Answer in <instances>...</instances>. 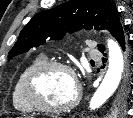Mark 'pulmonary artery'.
<instances>
[{"label": "pulmonary artery", "instance_id": "pulmonary-artery-1", "mask_svg": "<svg viewBox=\"0 0 133 118\" xmlns=\"http://www.w3.org/2000/svg\"><path fill=\"white\" fill-rule=\"evenodd\" d=\"M90 57L92 59H99L101 57V54L97 50L91 49L90 50Z\"/></svg>", "mask_w": 133, "mask_h": 118}]
</instances>
